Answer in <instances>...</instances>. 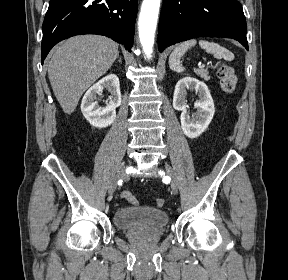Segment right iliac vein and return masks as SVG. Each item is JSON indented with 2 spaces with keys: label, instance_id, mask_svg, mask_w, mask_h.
I'll list each match as a JSON object with an SVG mask.
<instances>
[{
  "label": "right iliac vein",
  "instance_id": "right-iliac-vein-1",
  "mask_svg": "<svg viewBox=\"0 0 288 280\" xmlns=\"http://www.w3.org/2000/svg\"><path fill=\"white\" fill-rule=\"evenodd\" d=\"M126 177V171L124 168L120 169L117 174L115 175V177L112 179L109 187H108V193L110 195H112L116 188H117V185H118V181L121 180V179H124Z\"/></svg>",
  "mask_w": 288,
  "mask_h": 280
}]
</instances>
